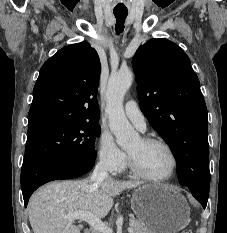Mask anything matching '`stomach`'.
I'll return each mask as SVG.
<instances>
[{"instance_id": "obj_1", "label": "stomach", "mask_w": 227, "mask_h": 233, "mask_svg": "<svg viewBox=\"0 0 227 233\" xmlns=\"http://www.w3.org/2000/svg\"><path fill=\"white\" fill-rule=\"evenodd\" d=\"M131 207L151 233H177L190 221L187 201L168 185L147 184L135 189Z\"/></svg>"}]
</instances>
